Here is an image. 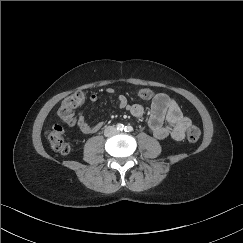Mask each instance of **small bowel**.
Here are the masks:
<instances>
[{"label": "small bowel", "instance_id": "c3829d8e", "mask_svg": "<svg viewBox=\"0 0 243 243\" xmlns=\"http://www.w3.org/2000/svg\"><path fill=\"white\" fill-rule=\"evenodd\" d=\"M112 88L106 89L107 95H112ZM139 97L151 100V111L148 119V127L151 134L157 139H164L168 136L175 140H181L185 131L191 124V120L184 116L177 102L171 99L166 93L160 92L153 94L149 89H141ZM92 103L99 101V95L93 93L89 96ZM118 106L129 112L133 117H141L144 114V107L140 103H128L126 98L121 96L118 100ZM166 121V124L164 122ZM102 122L91 124L83 111L79 113L77 122L78 128L84 133H93L97 131Z\"/></svg>", "mask_w": 243, "mask_h": 243}]
</instances>
